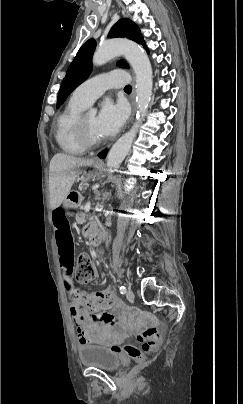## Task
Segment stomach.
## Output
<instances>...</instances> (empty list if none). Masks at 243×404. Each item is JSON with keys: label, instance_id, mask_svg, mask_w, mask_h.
Listing matches in <instances>:
<instances>
[{"label": "stomach", "instance_id": "obj_1", "mask_svg": "<svg viewBox=\"0 0 243 404\" xmlns=\"http://www.w3.org/2000/svg\"><path fill=\"white\" fill-rule=\"evenodd\" d=\"M92 166L95 168V170H96V172H95V174H100V173H102V171H103V169H104V165L101 163V162H95V163H93L92 164ZM90 176H95V175H90ZM86 178V176L84 175V176H82L81 177V179L82 180H84ZM64 204H65V207H67V208H73V207H76L77 206V204H75V203H73V202H71V201H69V200H66L65 202H64Z\"/></svg>", "mask_w": 243, "mask_h": 404}]
</instances>
